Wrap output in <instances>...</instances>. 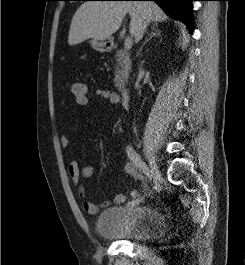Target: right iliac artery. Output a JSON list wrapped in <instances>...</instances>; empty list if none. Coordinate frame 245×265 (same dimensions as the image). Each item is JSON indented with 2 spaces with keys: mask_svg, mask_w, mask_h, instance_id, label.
Masks as SVG:
<instances>
[{
  "mask_svg": "<svg viewBox=\"0 0 245 265\" xmlns=\"http://www.w3.org/2000/svg\"><path fill=\"white\" fill-rule=\"evenodd\" d=\"M127 155L129 157V159L133 162V164L138 167L142 173L149 179L151 180V174L149 171V168L147 167V165H145V163L141 160V158L139 157V155L136 153V151L131 147L128 146L126 149ZM144 198H139V199H135L132 200L131 202L128 203V205H135V204H139L143 201Z\"/></svg>",
  "mask_w": 245,
  "mask_h": 265,
  "instance_id": "right-iliac-artery-1",
  "label": "right iliac artery"
}]
</instances>
